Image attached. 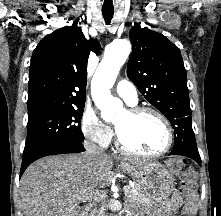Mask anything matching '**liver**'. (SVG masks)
I'll list each match as a JSON object with an SVG mask.
<instances>
[{
  "mask_svg": "<svg viewBox=\"0 0 221 216\" xmlns=\"http://www.w3.org/2000/svg\"><path fill=\"white\" fill-rule=\"evenodd\" d=\"M131 164H144L127 159ZM114 158L87 153L49 156L32 163L20 180V206L24 216H81L79 199L89 191L111 185Z\"/></svg>",
  "mask_w": 221,
  "mask_h": 216,
  "instance_id": "liver-1",
  "label": "liver"
}]
</instances>
